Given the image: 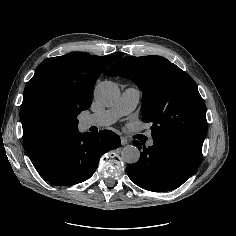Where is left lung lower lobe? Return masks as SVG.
Masks as SVG:
<instances>
[{
    "label": "left lung lower lobe",
    "mask_w": 236,
    "mask_h": 236,
    "mask_svg": "<svg viewBox=\"0 0 236 236\" xmlns=\"http://www.w3.org/2000/svg\"><path fill=\"white\" fill-rule=\"evenodd\" d=\"M151 147L133 144L142 149L140 159L126 168L137 186L155 192H165L181 186L199 167L202 149L165 136L153 137Z\"/></svg>",
    "instance_id": "0a47b994"
}]
</instances>
